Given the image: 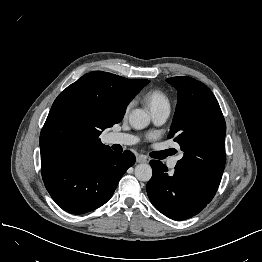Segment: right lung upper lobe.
I'll return each instance as SVG.
<instances>
[{
  "label": "right lung upper lobe",
  "mask_w": 262,
  "mask_h": 262,
  "mask_svg": "<svg viewBox=\"0 0 262 262\" xmlns=\"http://www.w3.org/2000/svg\"><path fill=\"white\" fill-rule=\"evenodd\" d=\"M148 83L102 71L82 76L54 101L40 134L41 158L110 149L100 134L122 120L129 102Z\"/></svg>",
  "instance_id": "obj_1"
}]
</instances>
